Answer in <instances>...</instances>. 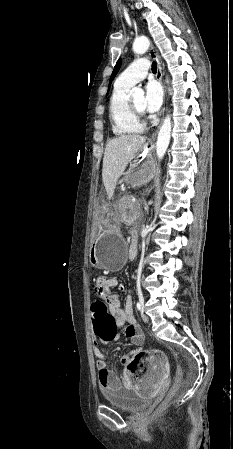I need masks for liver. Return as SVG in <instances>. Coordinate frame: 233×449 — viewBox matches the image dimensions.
Returning <instances> with one entry per match:
<instances>
[{
  "instance_id": "liver-1",
  "label": "liver",
  "mask_w": 233,
  "mask_h": 449,
  "mask_svg": "<svg viewBox=\"0 0 233 449\" xmlns=\"http://www.w3.org/2000/svg\"><path fill=\"white\" fill-rule=\"evenodd\" d=\"M145 141L144 136L128 134L113 138L106 144L102 179L109 199L114 194L118 179Z\"/></svg>"
}]
</instances>
